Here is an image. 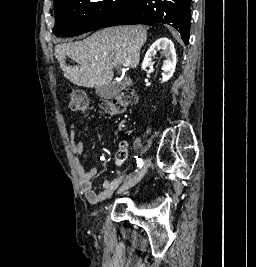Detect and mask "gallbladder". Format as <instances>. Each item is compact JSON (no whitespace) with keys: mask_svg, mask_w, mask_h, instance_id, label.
Segmentation results:
<instances>
[{"mask_svg":"<svg viewBox=\"0 0 256 267\" xmlns=\"http://www.w3.org/2000/svg\"><path fill=\"white\" fill-rule=\"evenodd\" d=\"M121 86L122 82H116V84H104V86H96L95 92L100 98L111 100V98H114V96H117L118 92H120Z\"/></svg>","mask_w":256,"mask_h":267,"instance_id":"1","label":"gallbladder"}]
</instances>
